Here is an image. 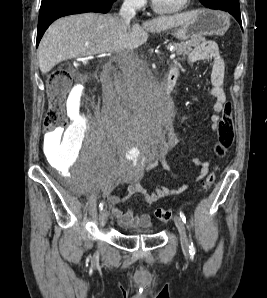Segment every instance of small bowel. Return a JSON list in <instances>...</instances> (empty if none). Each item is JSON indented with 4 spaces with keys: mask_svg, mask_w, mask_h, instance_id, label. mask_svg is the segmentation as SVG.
Here are the masks:
<instances>
[{
    "mask_svg": "<svg viewBox=\"0 0 267 298\" xmlns=\"http://www.w3.org/2000/svg\"><path fill=\"white\" fill-rule=\"evenodd\" d=\"M189 62H210V89L209 95L213 99V114L210 116V126L213 131H217L221 116L228 108V102L226 94L223 89L224 75H225V63L222 59L219 49L216 43L211 41H205L197 45L189 55ZM66 132L63 130H57L50 137V141L55 143L64 138ZM194 164L200 166V177H203L208 172L209 162L196 158L193 160ZM157 166V163H153L150 169ZM141 175L139 173L133 175L121 174L114 178V180L106 183L102 187V194L107 199L112 216L118 220L119 224L125 228L134 229H148L152 225V217L149 213H143L140 215L135 214L132 210L123 211L117 206L133 196L134 194H140L145 202L149 205L157 203L159 200L170 196L178 195L188 188L187 184H183L179 188L170 189L165 186H154L151 193H148L140 183ZM127 183L126 195L124 198L112 193L113 189L118 184Z\"/></svg>",
    "mask_w": 267,
    "mask_h": 298,
    "instance_id": "1",
    "label": "small bowel"
}]
</instances>
